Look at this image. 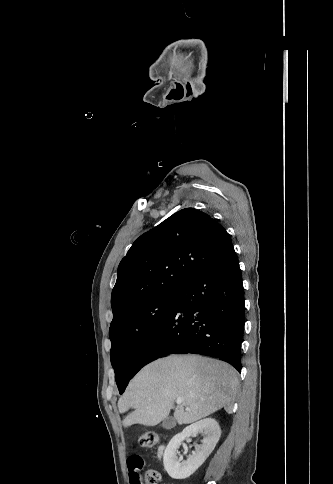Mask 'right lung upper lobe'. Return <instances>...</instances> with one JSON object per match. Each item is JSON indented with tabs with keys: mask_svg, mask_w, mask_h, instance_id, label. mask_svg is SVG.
<instances>
[{
	"mask_svg": "<svg viewBox=\"0 0 333 484\" xmlns=\"http://www.w3.org/2000/svg\"><path fill=\"white\" fill-rule=\"evenodd\" d=\"M231 246L229 234L208 214L194 208L176 212L141 235L120 262L112 322L157 295L180 290Z\"/></svg>",
	"mask_w": 333,
	"mask_h": 484,
	"instance_id": "obj_1",
	"label": "right lung upper lobe"
}]
</instances>
